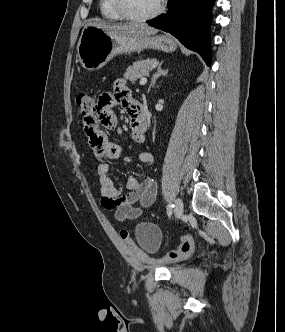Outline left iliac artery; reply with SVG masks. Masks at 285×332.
<instances>
[{
    "mask_svg": "<svg viewBox=\"0 0 285 332\" xmlns=\"http://www.w3.org/2000/svg\"><path fill=\"white\" fill-rule=\"evenodd\" d=\"M174 205L170 202L167 206V213L168 216H170L172 214V209H173Z\"/></svg>",
    "mask_w": 285,
    "mask_h": 332,
    "instance_id": "1",
    "label": "left iliac artery"
}]
</instances>
